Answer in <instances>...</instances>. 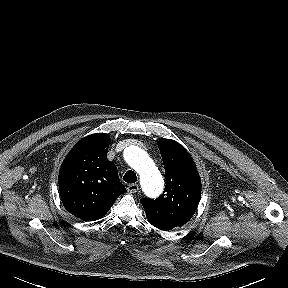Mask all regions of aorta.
<instances>
[{
	"mask_svg": "<svg viewBox=\"0 0 288 288\" xmlns=\"http://www.w3.org/2000/svg\"><path fill=\"white\" fill-rule=\"evenodd\" d=\"M126 162L140 175L141 186L147 195L156 197L164 187L163 177L145 151L138 146H129L125 149Z\"/></svg>",
	"mask_w": 288,
	"mask_h": 288,
	"instance_id": "obj_1",
	"label": "aorta"
}]
</instances>
